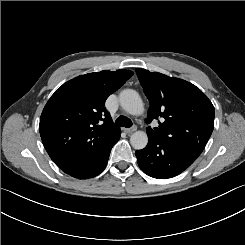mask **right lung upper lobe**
<instances>
[{
	"instance_id": "right-lung-upper-lobe-1",
	"label": "right lung upper lobe",
	"mask_w": 245,
	"mask_h": 245,
	"mask_svg": "<svg viewBox=\"0 0 245 245\" xmlns=\"http://www.w3.org/2000/svg\"><path fill=\"white\" fill-rule=\"evenodd\" d=\"M132 75L130 70L88 73L64 83L51 96L39 130L45 149L61 169L85 153L106 147L121 133L104 103Z\"/></svg>"
}]
</instances>
